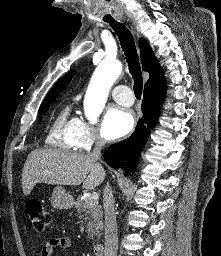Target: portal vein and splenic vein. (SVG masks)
Instances as JSON below:
<instances>
[{
	"instance_id": "obj_1",
	"label": "portal vein and splenic vein",
	"mask_w": 221,
	"mask_h": 256,
	"mask_svg": "<svg viewBox=\"0 0 221 256\" xmlns=\"http://www.w3.org/2000/svg\"><path fill=\"white\" fill-rule=\"evenodd\" d=\"M90 199H92L93 201H98V199H99V195H98V193H96V192H93L92 194H91V196H90Z\"/></svg>"
}]
</instances>
